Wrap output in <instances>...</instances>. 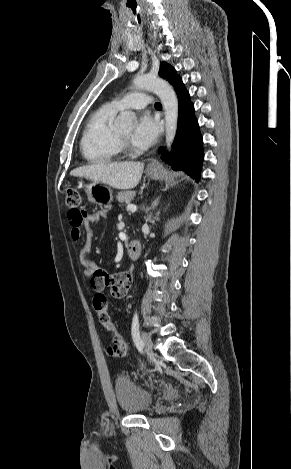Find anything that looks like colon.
<instances>
[{"instance_id":"obj_1","label":"colon","mask_w":291,"mask_h":469,"mask_svg":"<svg viewBox=\"0 0 291 469\" xmlns=\"http://www.w3.org/2000/svg\"><path fill=\"white\" fill-rule=\"evenodd\" d=\"M66 204L70 213H75L78 217L86 214L81 208L82 198L78 190L74 188L67 190ZM107 300L108 295L106 293H96L93 300V309L97 312L101 325L112 335V344L108 347L109 355L119 359L126 356L128 347L108 313Z\"/></svg>"}]
</instances>
